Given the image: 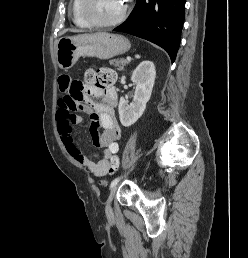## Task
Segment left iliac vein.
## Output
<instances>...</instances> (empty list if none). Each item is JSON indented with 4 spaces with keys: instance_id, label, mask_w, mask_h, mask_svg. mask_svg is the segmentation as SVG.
Wrapping results in <instances>:
<instances>
[{
    "instance_id": "obj_1",
    "label": "left iliac vein",
    "mask_w": 248,
    "mask_h": 258,
    "mask_svg": "<svg viewBox=\"0 0 248 258\" xmlns=\"http://www.w3.org/2000/svg\"><path fill=\"white\" fill-rule=\"evenodd\" d=\"M118 189V184H116L114 187H112L111 191H110V194H109V197H108V200H107V206H106V210L107 211H110L111 210V202L116 194V191Z\"/></svg>"
}]
</instances>
